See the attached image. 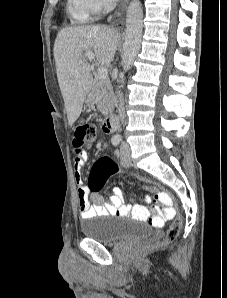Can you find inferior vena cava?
<instances>
[{"instance_id":"obj_1","label":"inferior vena cava","mask_w":227,"mask_h":298,"mask_svg":"<svg viewBox=\"0 0 227 298\" xmlns=\"http://www.w3.org/2000/svg\"><path fill=\"white\" fill-rule=\"evenodd\" d=\"M115 6L113 0H106L105 2V11L109 12L111 9H113ZM119 107H118V113H119V118L121 122H124L125 119V113H124V99L123 95L119 92Z\"/></svg>"}]
</instances>
